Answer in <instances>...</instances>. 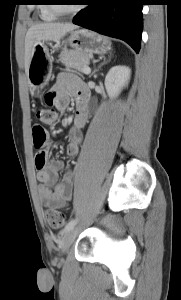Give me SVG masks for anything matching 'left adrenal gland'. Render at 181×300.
<instances>
[{
    "instance_id": "left-adrenal-gland-1",
    "label": "left adrenal gland",
    "mask_w": 181,
    "mask_h": 300,
    "mask_svg": "<svg viewBox=\"0 0 181 300\" xmlns=\"http://www.w3.org/2000/svg\"><path fill=\"white\" fill-rule=\"evenodd\" d=\"M105 63H106V61H103L96 69H94V71L92 72V74L90 75V77L92 75H94Z\"/></svg>"
}]
</instances>
